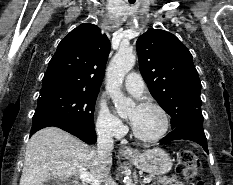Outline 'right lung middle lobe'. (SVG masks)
Returning <instances> with one entry per match:
<instances>
[{"label":"right lung middle lobe","instance_id":"dd1d6c3e","mask_svg":"<svg viewBox=\"0 0 233 185\" xmlns=\"http://www.w3.org/2000/svg\"><path fill=\"white\" fill-rule=\"evenodd\" d=\"M98 93L67 89L40 91L32 129L41 122L68 123L94 129V108Z\"/></svg>","mask_w":233,"mask_h":185}]
</instances>
